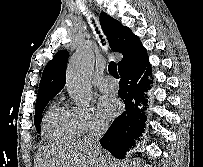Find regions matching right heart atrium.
Masks as SVG:
<instances>
[{
  "label": "right heart atrium",
  "instance_id": "1",
  "mask_svg": "<svg viewBox=\"0 0 203 167\" xmlns=\"http://www.w3.org/2000/svg\"><path fill=\"white\" fill-rule=\"evenodd\" d=\"M69 116L77 135H84L106 128L107 123L89 106H71Z\"/></svg>",
  "mask_w": 203,
  "mask_h": 167
}]
</instances>
